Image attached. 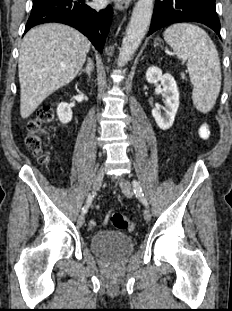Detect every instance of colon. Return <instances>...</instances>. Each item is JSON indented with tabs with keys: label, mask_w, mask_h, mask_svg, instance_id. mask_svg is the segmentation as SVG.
<instances>
[{
	"label": "colon",
	"mask_w": 232,
	"mask_h": 311,
	"mask_svg": "<svg viewBox=\"0 0 232 311\" xmlns=\"http://www.w3.org/2000/svg\"><path fill=\"white\" fill-rule=\"evenodd\" d=\"M53 120V110L50 107H45L40 109L36 118L31 120L27 125V135L25 137L26 148L37 156L42 163L47 162V156L43 151L45 143L44 135ZM110 219L116 229L130 232L135 230L133 222L122 214H113Z\"/></svg>",
	"instance_id": "5ec220e1"
}]
</instances>
